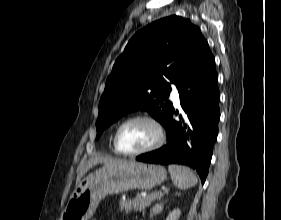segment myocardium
<instances>
[{"instance_id":"obj_1","label":"myocardium","mask_w":281,"mask_h":220,"mask_svg":"<svg viewBox=\"0 0 281 220\" xmlns=\"http://www.w3.org/2000/svg\"><path fill=\"white\" fill-rule=\"evenodd\" d=\"M139 120L147 121L155 127L156 132H157L156 140L148 147L143 148L138 151L126 152V151L121 150L119 147V135H120L122 129L129 123H132L134 121H139ZM165 138L166 137H165V132H164L163 126L156 118H154L153 116H150V115L139 114V115H135V116H132V117L126 119L118 126V128L115 132V135H114L113 145H114V149L116 150V152L118 154L133 157V156H139L142 154H146V153L152 152V151L160 148L164 144Z\"/></svg>"}]
</instances>
